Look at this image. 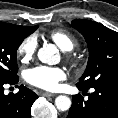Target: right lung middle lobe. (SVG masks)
I'll list each match as a JSON object with an SVG mask.
<instances>
[{
	"instance_id": "right-lung-middle-lobe-1",
	"label": "right lung middle lobe",
	"mask_w": 118,
	"mask_h": 118,
	"mask_svg": "<svg viewBox=\"0 0 118 118\" xmlns=\"http://www.w3.org/2000/svg\"><path fill=\"white\" fill-rule=\"evenodd\" d=\"M27 36L14 25L0 22V82L17 77L16 52Z\"/></svg>"
}]
</instances>
